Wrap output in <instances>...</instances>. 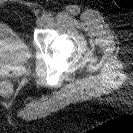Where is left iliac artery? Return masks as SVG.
<instances>
[{"label":"left iliac artery","instance_id":"obj_1","mask_svg":"<svg viewBox=\"0 0 133 133\" xmlns=\"http://www.w3.org/2000/svg\"><path fill=\"white\" fill-rule=\"evenodd\" d=\"M52 16L51 13H46L43 15V17L45 18V20L47 21L48 19H50V17Z\"/></svg>","mask_w":133,"mask_h":133}]
</instances>
